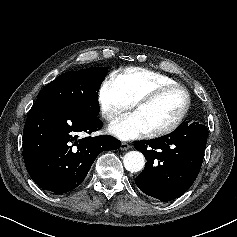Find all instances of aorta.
Masks as SVG:
<instances>
[{"label":"aorta","mask_w":237,"mask_h":237,"mask_svg":"<svg viewBox=\"0 0 237 237\" xmlns=\"http://www.w3.org/2000/svg\"><path fill=\"white\" fill-rule=\"evenodd\" d=\"M123 164L129 172H139L145 165V158L139 151H130L125 154Z\"/></svg>","instance_id":"aorta-1"}]
</instances>
